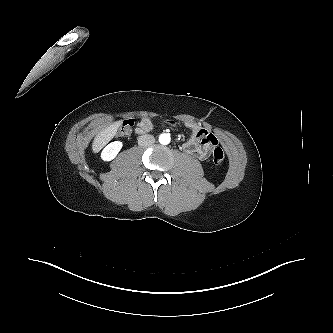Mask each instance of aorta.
<instances>
[{"instance_id": "obj_1", "label": "aorta", "mask_w": 333, "mask_h": 333, "mask_svg": "<svg viewBox=\"0 0 333 333\" xmlns=\"http://www.w3.org/2000/svg\"><path fill=\"white\" fill-rule=\"evenodd\" d=\"M171 141L170 134L163 133L159 136L160 144L167 145Z\"/></svg>"}]
</instances>
